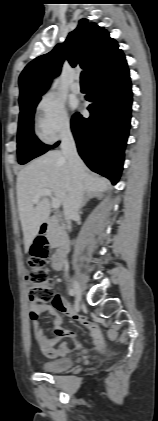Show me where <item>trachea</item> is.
Listing matches in <instances>:
<instances>
[{
    "label": "trachea",
    "mask_w": 158,
    "mask_h": 421,
    "mask_svg": "<svg viewBox=\"0 0 158 421\" xmlns=\"http://www.w3.org/2000/svg\"><path fill=\"white\" fill-rule=\"evenodd\" d=\"M87 81H86V72H82L81 73V83L82 84H85Z\"/></svg>",
    "instance_id": "obj_1"
}]
</instances>
